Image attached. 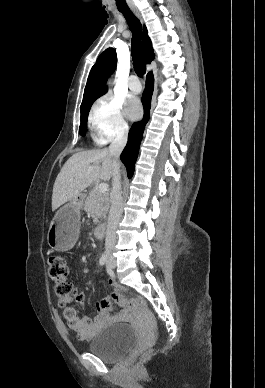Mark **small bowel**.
<instances>
[{
  "label": "small bowel",
  "mask_w": 265,
  "mask_h": 388,
  "mask_svg": "<svg viewBox=\"0 0 265 388\" xmlns=\"http://www.w3.org/2000/svg\"><path fill=\"white\" fill-rule=\"evenodd\" d=\"M109 285L115 289V292L112 296L113 302H97V315L93 320L87 317H80L76 309L71 306H64L63 317L66 322L65 324L61 323V329H69L76 333L80 340L86 341L93 338L99 330H101L109 323L121 320L122 316L119 314H113L112 310L113 303L119 305L125 303L126 300L123 295V289L116 283L113 278L109 279ZM73 296L78 303H82L85 298L84 293L78 289H74Z\"/></svg>",
  "instance_id": "small-bowel-1"
}]
</instances>
